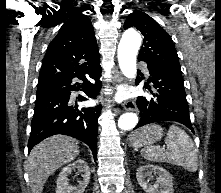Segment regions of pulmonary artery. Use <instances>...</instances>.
<instances>
[{"mask_svg":"<svg viewBox=\"0 0 221 193\" xmlns=\"http://www.w3.org/2000/svg\"><path fill=\"white\" fill-rule=\"evenodd\" d=\"M142 69H143L144 73H145L146 75H148V70H147L146 65H142Z\"/></svg>","mask_w":221,"mask_h":193,"instance_id":"obj_1","label":"pulmonary artery"}]
</instances>
